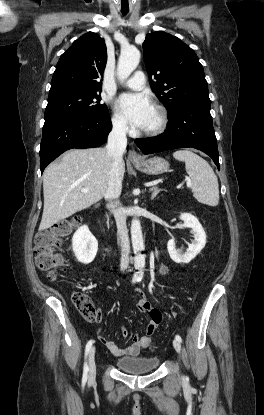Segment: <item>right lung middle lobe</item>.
Returning <instances> with one entry per match:
<instances>
[{"label": "right lung middle lobe", "instance_id": "dd1d6c3e", "mask_svg": "<svg viewBox=\"0 0 264 415\" xmlns=\"http://www.w3.org/2000/svg\"><path fill=\"white\" fill-rule=\"evenodd\" d=\"M99 92L67 91L48 97L45 121L64 117H91L109 114L100 103Z\"/></svg>", "mask_w": 264, "mask_h": 415}]
</instances>
